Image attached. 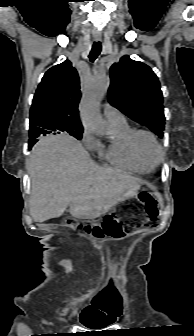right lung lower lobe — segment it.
Here are the masks:
<instances>
[{"label":"right lung lower lobe","mask_w":194,"mask_h":336,"mask_svg":"<svg viewBox=\"0 0 194 336\" xmlns=\"http://www.w3.org/2000/svg\"><path fill=\"white\" fill-rule=\"evenodd\" d=\"M33 145L29 144V148H31Z\"/></svg>","instance_id":"obj_1"}]
</instances>
